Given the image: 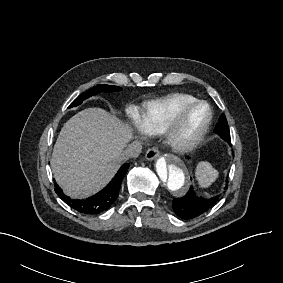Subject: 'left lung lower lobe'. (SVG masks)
I'll return each mask as SVG.
<instances>
[{"label":"left lung lower lobe","mask_w":283,"mask_h":283,"mask_svg":"<svg viewBox=\"0 0 283 283\" xmlns=\"http://www.w3.org/2000/svg\"><path fill=\"white\" fill-rule=\"evenodd\" d=\"M215 133L231 146L229 127L224 114H222L219 118V122L215 127ZM219 197L220 195L211 199L198 197L196 191L193 187H191L185 196L174 199L172 205L178 216L183 219H192L208 212L217 203Z\"/></svg>","instance_id":"left-lung-lower-lobe-1"}]
</instances>
